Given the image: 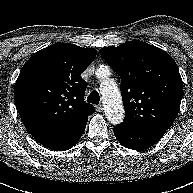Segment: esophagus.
I'll return each instance as SVG.
<instances>
[{
	"mask_svg": "<svg viewBox=\"0 0 193 193\" xmlns=\"http://www.w3.org/2000/svg\"><path fill=\"white\" fill-rule=\"evenodd\" d=\"M103 105H98V106H96V111L97 112H102L103 111Z\"/></svg>",
	"mask_w": 193,
	"mask_h": 193,
	"instance_id": "esophagus-1",
	"label": "esophagus"
}]
</instances>
